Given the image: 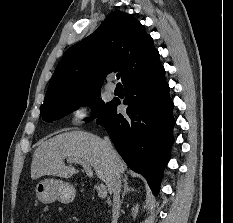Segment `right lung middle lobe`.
<instances>
[{
    "label": "right lung middle lobe",
    "mask_w": 233,
    "mask_h": 223,
    "mask_svg": "<svg viewBox=\"0 0 233 223\" xmlns=\"http://www.w3.org/2000/svg\"><path fill=\"white\" fill-rule=\"evenodd\" d=\"M100 88L87 90L71 96H68L58 102L42 105L40 107L43 120L47 122H53L59 120L65 115L77 110L82 105H90L93 110L94 117H97L102 109L108 105L104 103L100 96ZM87 119L86 121H89Z\"/></svg>",
    "instance_id": "1"
}]
</instances>
